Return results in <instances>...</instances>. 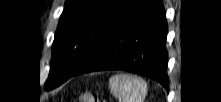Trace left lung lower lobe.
Masks as SVG:
<instances>
[{
  "label": "left lung lower lobe",
  "mask_w": 221,
  "mask_h": 102,
  "mask_svg": "<svg viewBox=\"0 0 221 102\" xmlns=\"http://www.w3.org/2000/svg\"><path fill=\"white\" fill-rule=\"evenodd\" d=\"M166 37L162 2L136 0L72 76L126 70L154 79L169 91Z\"/></svg>",
  "instance_id": "obj_1"
}]
</instances>
